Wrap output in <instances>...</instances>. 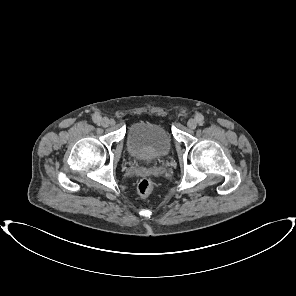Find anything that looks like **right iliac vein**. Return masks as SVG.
Returning a JSON list of instances; mask_svg holds the SVG:
<instances>
[{
    "instance_id": "obj_1",
    "label": "right iliac vein",
    "mask_w": 296,
    "mask_h": 296,
    "mask_svg": "<svg viewBox=\"0 0 296 296\" xmlns=\"http://www.w3.org/2000/svg\"><path fill=\"white\" fill-rule=\"evenodd\" d=\"M109 124H110V120L108 118L105 117V118L101 119V125L103 127H108Z\"/></svg>"
}]
</instances>
